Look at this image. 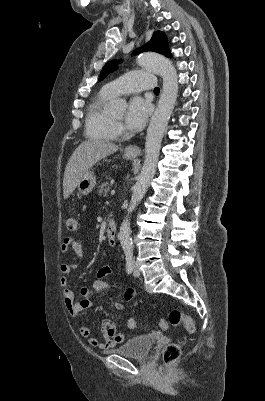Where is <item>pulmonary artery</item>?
I'll list each match as a JSON object with an SVG mask.
<instances>
[{
	"instance_id": "pulmonary-artery-1",
	"label": "pulmonary artery",
	"mask_w": 265,
	"mask_h": 401,
	"mask_svg": "<svg viewBox=\"0 0 265 401\" xmlns=\"http://www.w3.org/2000/svg\"><path fill=\"white\" fill-rule=\"evenodd\" d=\"M154 78L150 72H126L118 76V81L106 85L107 91L117 96L140 95L141 90H153L155 87Z\"/></svg>"
}]
</instances>
